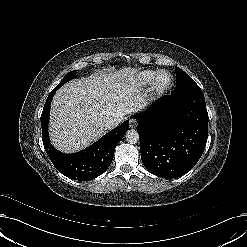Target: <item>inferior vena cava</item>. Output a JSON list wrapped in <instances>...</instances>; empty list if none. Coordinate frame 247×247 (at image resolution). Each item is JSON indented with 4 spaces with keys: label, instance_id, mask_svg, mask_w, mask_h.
Wrapping results in <instances>:
<instances>
[{
    "label": "inferior vena cava",
    "instance_id": "obj_1",
    "mask_svg": "<svg viewBox=\"0 0 247 247\" xmlns=\"http://www.w3.org/2000/svg\"><path fill=\"white\" fill-rule=\"evenodd\" d=\"M123 120L122 116H113V117H109L106 122H105V128L107 129H112L116 126H118Z\"/></svg>",
    "mask_w": 247,
    "mask_h": 247
}]
</instances>
